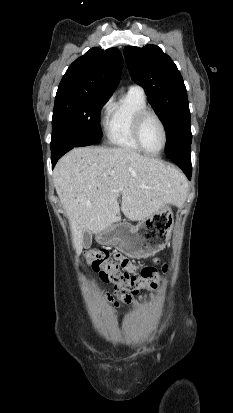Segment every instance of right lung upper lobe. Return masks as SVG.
<instances>
[{
  "label": "right lung upper lobe",
  "mask_w": 233,
  "mask_h": 413,
  "mask_svg": "<svg viewBox=\"0 0 233 413\" xmlns=\"http://www.w3.org/2000/svg\"><path fill=\"white\" fill-rule=\"evenodd\" d=\"M121 52L116 48H91L67 69L58 90H74L111 96L119 79Z\"/></svg>",
  "instance_id": "1"
}]
</instances>
